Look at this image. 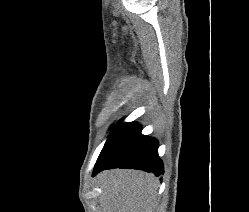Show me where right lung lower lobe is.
<instances>
[{
	"label": "right lung lower lobe",
	"mask_w": 249,
	"mask_h": 212,
	"mask_svg": "<svg viewBox=\"0 0 249 212\" xmlns=\"http://www.w3.org/2000/svg\"><path fill=\"white\" fill-rule=\"evenodd\" d=\"M136 122H118L102 149L93 170V176L110 168H133L163 174V163L158 156V141L141 134Z\"/></svg>",
	"instance_id": "obj_1"
}]
</instances>
